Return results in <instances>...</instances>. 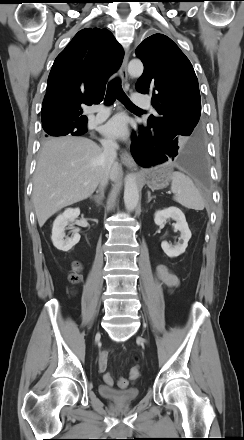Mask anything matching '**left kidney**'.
Returning a JSON list of instances; mask_svg holds the SVG:
<instances>
[{
  "mask_svg": "<svg viewBox=\"0 0 244 440\" xmlns=\"http://www.w3.org/2000/svg\"><path fill=\"white\" fill-rule=\"evenodd\" d=\"M167 219L176 221L174 225L176 230L180 231L179 242L172 246L168 242L163 241L161 247L165 254L169 257H177L185 252L188 241L191 238V231L186 222L184 213L177 207H169L164 210L157 211L154 215V222L157 225H162Z\"/></svg>",
  "mask_w": 244,
  "mask_h": 440,
  "instance_id": "left-kidney-1",
  "label": "left kidney"
}]
</instances>
